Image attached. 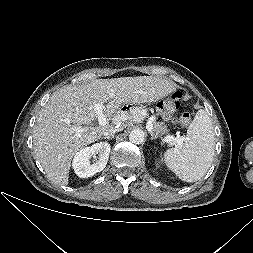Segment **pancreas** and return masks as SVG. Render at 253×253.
<instances>
[{"label":"pancreas","mask_w":253,"mask_h":253,"mask_svg":"<svg viewBox=\"0 0 253 253\" xmlns=\"http://www.w3.org/2000/svg\"><path fill=\"white\" fill-rule=\"evenodd\" d=\"M153 123V132L158 135V136H162L164 134L168 133V129L167 126L165 125L164 122H156V121H152Z\"/></svg>","instance_id":"cf45deb5"}]
</instances>
